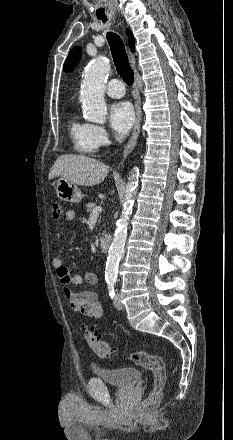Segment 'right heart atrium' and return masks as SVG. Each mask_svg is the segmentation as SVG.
I'll return each instance as SVG.
<instances>
[{
	"label": "right heart atrium",
	"mask_w": 233,
	"mask_h": 440,
	"mask_svg": "<svg viewBox=\"0 0 233 440\" xmlns=\"http://www.w3.org/2000/svg\"><path fill=\"white\" fill-rule=\"evenodd\" d=\"M92 138L97 149L107 147L111 143L109 132L101 125H92Z\"/></svg>",
	"instance_id": "right-heart-atrium-1"
}]
</instances>
